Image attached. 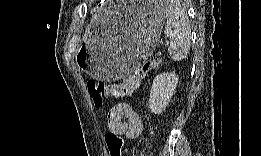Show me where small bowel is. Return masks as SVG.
I'll use <instances>...</instances> for the list:
<instances>
[{"label":"small bowel","instance_id":"small-bowel-1","mask_svg":"<svg viewBox=\"0 0 261 156\" xmlns=\"http://www.w3.org/2000/svg\"><path fill=\"white\" fill-rule=\"evenodd\" d=\"M109 133L134 139L142 132V121L139 114L126 102L113 105L107 114Z\"/></svg>","mask_w":261,"mask_h":156}]
</instances>
